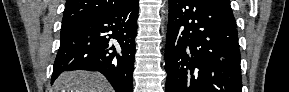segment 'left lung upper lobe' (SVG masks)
<instances>
[{
  "mask_svg": "<svg viewBox=\"0 0 289 92\" xmlns=\"http://www.w3.org/2000/svg\"><path fill=\"white\" fill-rule=\"evenodd\" d=\"M216 1L222 2L223 4H225L228 7H230V1L229 0H216Z\"/></svg>",
  "mask_w": 289,
  "mask_h": 92,
  "instance_id": "1",
  "label": "left lung upper lobe"
}]
</instances>
